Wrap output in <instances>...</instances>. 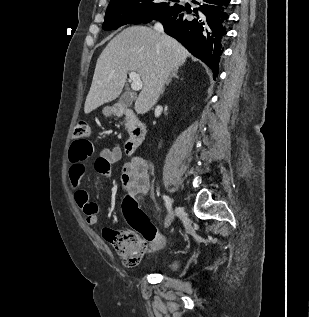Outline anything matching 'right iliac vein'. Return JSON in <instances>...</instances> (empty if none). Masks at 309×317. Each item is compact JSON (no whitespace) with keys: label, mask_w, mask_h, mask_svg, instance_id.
Masks as SVG:
<instances>
[{"label":"right iliac vein","mask_w":309,"mask_h":317,"mask_svg":"<svg viewBox=\"0 0 309 317\" xmlns=\"http://www.w3.org/2000/svg\"><path fill=\"white\" fill-rule=\"evenodd\" d=\"M173 219H174V212H173V210H170V212L165 220V224H164L165 228H168L171 225Z\"/></svg>","instance_id":"right-iliac-vein-1"}]
</instances>
